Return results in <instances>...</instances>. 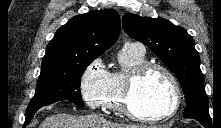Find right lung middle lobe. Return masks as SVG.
I'll list each match as a JSON object with an SVG mask.
<instances>
[{"label":"right lung middle lobe","mask_w":221,"mask_h":128,"mask_svg":"<svg viewBox=\"0 0 221 128\" xmlns=\"http://www.w3.org/2000/svg\"><path fill=\"white\" fill-rule=\"evenodd\" d=\"M94 59L72 63L64 67L41 70L35 95L27 107L26 114L61 100H69L83 107L80 78Z\"/></svg>","instance_id":"obj_1"}]
</instances>
